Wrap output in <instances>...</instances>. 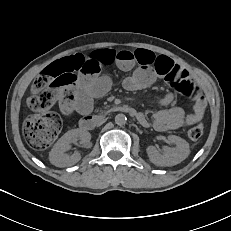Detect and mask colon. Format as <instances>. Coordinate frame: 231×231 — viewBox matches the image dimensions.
Returning <instances> with one entry per match:
<instances>
[{"label":"colon","instance_id":"colon-1","mask_svg":"<svg viewBox=\"0 0 231 231\" xmlns=\"http://www.w3.org/2000/svg\"><path fill=\"white\" fill-rule=\"evenodd\" d=\"M75 82L74 73L66 62L57 61L46 67L35 79L30 96L29 107L37 112L28 116L24 124V136L27 143L35 150L48 148L61 131L60 117L48 112L60 99L72 97V87ZM169 83L182 95L190 99L201 97V90L186 72L172 74ZM187 136L192 141L199 140L203 135V127L191 126Z\"/></svg>","mask_w":231,"mask_h":231}]
</instances>
